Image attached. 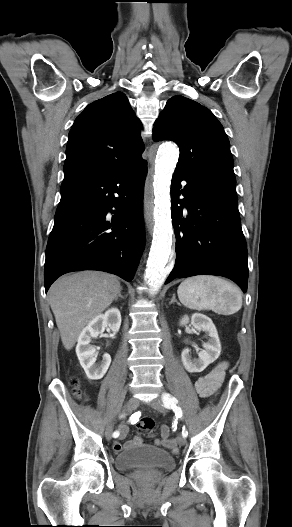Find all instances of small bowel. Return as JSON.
<instances>
[{"mask_svg": "<svg viewBox=\"0 0 292 527\" xmlns=\"http://www.w3.org/2000/svg\"><path fill=\"white\" fill-rule=\"evenodd\" d=\"M227 364L225 362H222L215 366L209 373H207L205 376L200 377L195 382V389L200 397L202 398H210L213 395H215L221 386V383L225 376V370H226ZM127 427L122 426L120 428L121 436L120 439L125 438L127 434ZM172 429L170 426H165V424H162V427L160 429L159 438L155 440L156 445H165L172 448L173 451L177 450L176 442L172 439H169V435L171 434ZM142 443V440L139 437L134 438L131 441H128L125 444L126 448H130L136 445H140ZM113 448L115 451L119 452L121 451L124 446L121 444L120 441H116L113 445Z\"/></svg>", "mask_w": 292, "mask_h": 527, "instance_id": "small-bowel-1", "label": "small bowel"}]
</instances>
